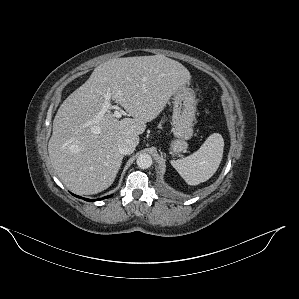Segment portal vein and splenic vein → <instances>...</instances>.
<instances>
[{
    "label": "portal vein and splenic vein",
    "mask_w": 299,
    "mask_h": 299,
    "mask_svg": "<svg viewBox=\"0 0 299 299\" xmlns=\"http://www.w3.org/2000/svg\"><path fill=\"white\" fill-rule=\"evenodd\" d=\"M108 109H111L110 94L109 93H107V95H106V102H105V105L103 106V110H102L101 114H103ZM122 114H123L122 111L115 110L113 115L116 118H121Z\"/></svg>",
    "instance_id": "1"
}]
</instances>
